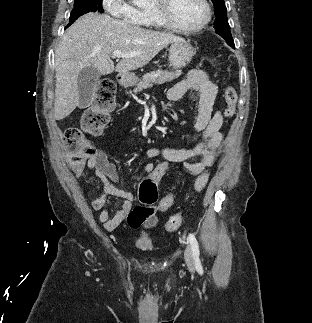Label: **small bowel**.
<instances>
[{"mask_svg":"<svg viewBox=\"0 0 312 323\" xmlns=\"http://www.w3.org/2000/svg\"><path fill=\"white\" fill-rule=\"evenodd\" d=\"M189 90L197 91L201 95L199 112L194 126V131L201 136V140L189 148H148L145 154L150 161L144 165V171L149 176H151V167L157 166L153 160L163 157L169 158V163H182L187 173L198 177L214 163L222 147L224 137L220 129L223 125V115L220 110L213 111L217 94L216 84L210 80L205 71L192 69L183 80L168 89L167 99L171 102L178 101ZM88 167L95 172L103 184L102 194L91 201V207L93 210L99 211V221L107 231L114 230L124 222L132 229L150 228L156 225L158 218L155 214L149 213L148 216H141V209L133 207L134 193L120 189L114 184L119 180L118 172L115 165L108 161L104 152L97 151L89 159ZM110 196L122 200L120 209L113 216L105 207Z\"/></svg>","mask_w":312,"mask_h":323,"instance_id":"obj_1","label":"small bowel"}]
</instances>
